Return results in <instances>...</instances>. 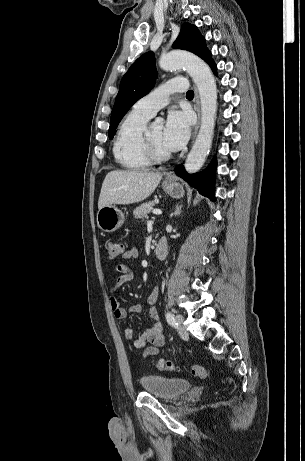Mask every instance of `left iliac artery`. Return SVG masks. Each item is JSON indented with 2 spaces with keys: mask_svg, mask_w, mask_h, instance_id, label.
<instances>
[{
  "mask_svg": "<svg viewBox=\"0 0 305 461\" xmlns=\"http://www.w3.org/2000/svg\"><path fill=\"white\" fill-rule=\"evenodd\" d=\"M166 320L168 322V324L172 325V326H178V324L176 323L175 321V318L173 316V314L171 312H167L166 313Z\"/></svg>",
  "mask_w": 305,
  "mask_h": 461,
  "instance_id": "obj_1",
  "label": "left iliac artery"
}]
</instances>
